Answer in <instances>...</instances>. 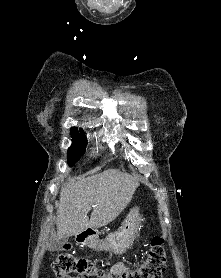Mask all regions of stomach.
Segmentation results:
<instances>
[{"mask_svg": "<svg viewBox=\"0 0 221 278\" xmlns=\"http://www.w3.org/2000/svg\"><path fill=\"white\" fill-rule=\"evenodd\" d=\"M141 223V215L138 207L130 209L123 222V226L117 232L110 234L104 241H99L94 235H87L77 241L89 248L101 251L113 252L121 255L129 248L133 242Z\"/></svg>", "mask_w": 221, "mask_h": 278, "instance_id": "1", "label": "stomach"}]
</instances>
